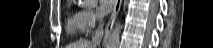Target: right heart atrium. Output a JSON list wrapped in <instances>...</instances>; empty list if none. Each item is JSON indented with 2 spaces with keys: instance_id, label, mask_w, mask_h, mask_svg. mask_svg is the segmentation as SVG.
I'll return each mask as SVG.
<instances>
[{
  "instance_id": "obj_1",
  "label": "right heart atrium",
  "mask_w": 213,
  "mask_h": 48,
  "mask_svg": "<svg viewBox=\"0 0 213 48\" xmlns=\"http://www.w3.org/2000/svg\"><path fill=\"white\" fill-rule=\"evenodd\" d=\"M99 15L91 8H85L80 12L82 32L89 33L96 25Z\"/></svg>"
}]
</instances>
